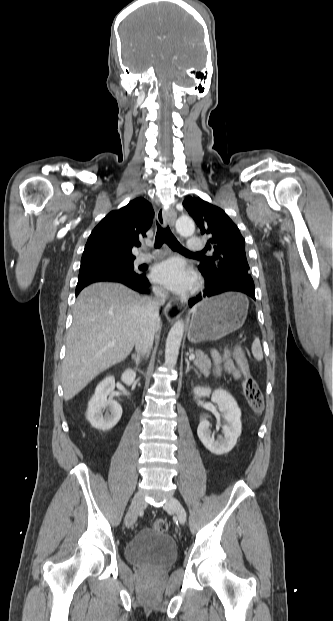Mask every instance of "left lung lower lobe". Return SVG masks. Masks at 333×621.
<instances>
[{
    "instance_id": "0a47b994",
    "label": "left lung lower lobe",
    "mask_w": 333,
    "mask_h": 621,
    "mask_svg": "<svg viewBox=\"0 0 333 621\" xmlns=\"http://www.w3.org/2000/svg\"><path fill=\"white\" fill-rule=\"evenodd\" d=\"M202 275L205 278L206 289L202 294L200 293L196 297L189 300L190 307L204 298L219 295L228 291L242 292L255 300V286L252 277L232 275L215 282L207 275Z\"/></svg>"
}]
</instances>
